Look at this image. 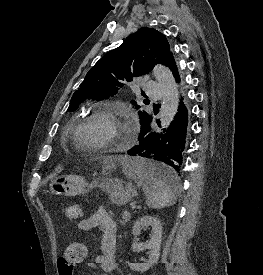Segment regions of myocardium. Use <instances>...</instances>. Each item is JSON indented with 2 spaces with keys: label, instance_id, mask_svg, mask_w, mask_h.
Instances as JSON below:
<instances>
[{
  "label": "myocardium",
  "instance_id": "f54148a6",
  "mask_svg": "<svg viewBox=\"0 0 263 275\" xmlns=\"http://www.w3.org/2000/svg\"><path fill=\"white\" fill-rule=\"evenodd\" d=\"M104 119L112 127L113 134L101 142H88L83 139V129L94 119ZM128 139V130L120 118L111 110L97 108L81 118L74 130V140L79 148L87 152L115 151L124 147Z\"/></svg>",
  "mask_w": 263,
  "mask_h": 275
}]
</instances>
